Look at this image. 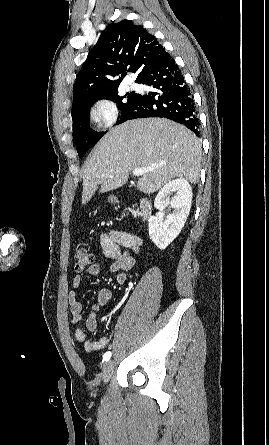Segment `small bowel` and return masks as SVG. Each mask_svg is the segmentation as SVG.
Here are the masks:
<instances>
[{"label":"small bowel","mask_w":269,"mask_h":445,"mask_svg":"<svg viewBox=\"0 0 269 445\" xmlns=\"http://www.w3.org/2000/svg\"><path fill=\"white\" fill-rule=\"evenodd\" d=\"M141 241L138 237L121 231H111L101 236V247L106 257L112 260L109 271L116 274V280L119 284L127 281L128 273L133 268L136 258L135 252L139 249ZM101 271V265L94 263L86 269L88 275H97ZM82 276L75 275L73 278V290L69 294V306L72 315V322L78 327L75 330L77 341L83 343L87 352L100 350L108 344L106 336L98 340H89L86 338V330L94 331L97 328L96 313L101 306L113 299V292L109 289L100 290L96 302L91 306L90 314L86 320L85 328L80 324L84 320L83 305L77 299V292L82 285Z\"/></svg>","instance_id":"c3829d8e"}]
</instances>
